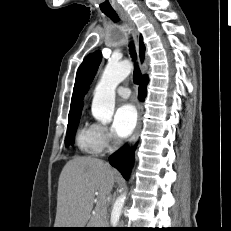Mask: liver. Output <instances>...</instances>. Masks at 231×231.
I'll use <instances>...</instances> for the list:
<instances>
[{
	"label": "liver",
	"mask_w": 231,
	"mask_h": 231,
	"mask_svg": "<svg viewBox=\"0 0 231 231\" xmlns=\"http://www.w3.org/2000/svg\"><path fill=\"white\" fill-rule=\"evenodd\" d=\"M118 173L92 157L68 161L59 176L55 228H84L91 218L95 194L106 200Z\"/></svg>",
	"instance_id": "obj_1"
}]
</instances>
